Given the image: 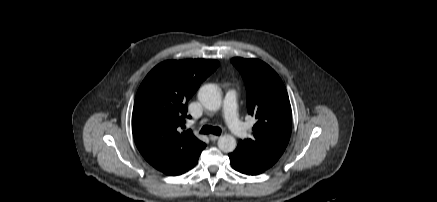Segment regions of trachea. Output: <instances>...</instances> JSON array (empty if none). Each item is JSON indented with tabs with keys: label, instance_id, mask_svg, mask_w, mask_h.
<instances>
[{
	"label": "trachea",
	"instance_id": "obj_1",
	"mask_svg": "<svg viewBox=\"0 0 437 202\" xmlns=\"http://www.w3.org/2000/svg\"><path fill=\"white\" fill-rule=\"evenodd\" d=\"M221 129L219 127H213L210 125H205L201 128L200 133L201 134H215V135H220L221 134Z\"/></svg>",
	"mask_w": 437,
	"mask_h": 202
}]
</instances>
